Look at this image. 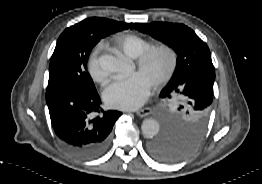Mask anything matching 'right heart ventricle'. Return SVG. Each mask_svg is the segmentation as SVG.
I'll list each match as a JSON object with an SVG mask.
<instances>
[{
	"instance_id": "right-heart-ventricle-1",
	"label": "right heart ventricle",
	"mask_w": 262,
	"mask_h": 184,
	"mask_svg": "<svg viewBox=\"0 0 262 184\" xmlns=\"http://www.w3.org/2000/svg\"><path fill=\"white\" fill-rule=\"evenodd\" d=\"M117 44L123 54L129 58H138L146 49L152 46L148 40L135 35L127 34L117 39Z\"/></svg>"
}]
</instances>
